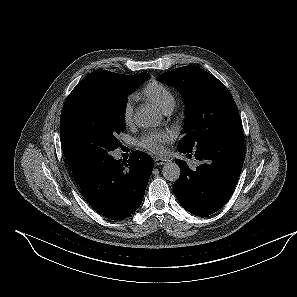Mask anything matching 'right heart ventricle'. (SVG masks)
Listing matches in <instances>:
<instances>
[{"label":"right heart ventricle","instance_id":"obj_1","mask_svg":"<svg viewBox=\"0 0 297 297\" xmlns=\"http://www.w3.org/2000/svg\"><path fill=\"white\" fill-rule=\"evenodd\" d=\"M142 95L163 112L172 109L175 104V97L172 91L162 83L150 81L142 89Z\"/></svg>","mask_w":297,"mask_h":297}]
</instances>
